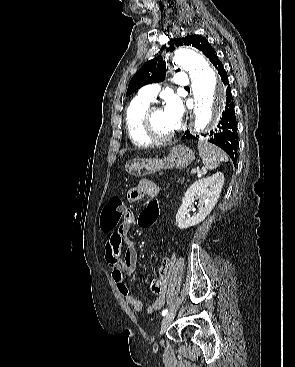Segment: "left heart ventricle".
Wrapping results in <instances>:
<instances>
[{
	"instance_id": "1",
	"label": "left heart ventricle",
	"mask_w": 295,
	"mask_h": 367,
	"mask_svg": "<svg viewBox=\"0 0 295 367\" xmlns=\"http://www.w3.org/2000/svg\"><path fill=\"white\" fill-rule=\"evenodd\" d=\"M153 126L155 130L162 135H169L175 131V129L169 124L163 109H160L154 113Z\"/></svg>"
}]
</instances>
